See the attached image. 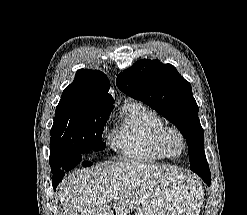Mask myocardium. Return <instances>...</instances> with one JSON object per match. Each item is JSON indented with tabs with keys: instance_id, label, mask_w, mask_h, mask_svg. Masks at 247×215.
Instances as JSON below:
<instances>
[{
	"instance_id": "myocardium-1",
	"label": "myocardium",
	"mask_w": 247,
	"mask_h": 215,
	"mask_svg": "<svg viewBox=\"0 0 247 215\" xmlns=\"http://www.w3.org/2000/svg\"><path fill=\"white\" fill-rule=\"evenodd\" d=\"M171 135H176L180 140L181 145L179 151L177 152L172 151L170 148L169 138ZM157 141L161 152L167 157H179L184 153L186 149V138L183 132L175 126L164 125L158 132Z\"/></svg>"
}]
</instances>
